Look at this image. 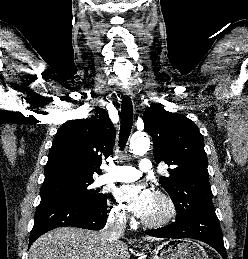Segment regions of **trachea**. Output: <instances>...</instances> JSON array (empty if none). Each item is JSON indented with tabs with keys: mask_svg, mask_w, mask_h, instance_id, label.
<instances>
[{
	"mask_svg": "<svg viewBox=\"0 0 248 259\" xmlns=\"http://www.w3.org/2000/svg\"><path fill=\"white\" fill-rule=\"evenodd\" d=\"M121 126L119 133V147L120 150H124L128 141L130 131L133 123V106L129 97L122 99L121 105Z\"/></svg>",
	"mask_w": 248,
	"mask_h": 259,
	"instance_id": "3493384b",
	"label": "trachea"
}]
</instances>
